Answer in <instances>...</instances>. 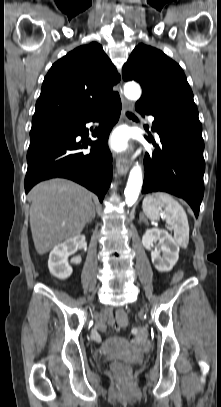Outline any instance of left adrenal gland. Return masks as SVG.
<instances>
[{
  "instance_id": "a2214340",
  "label": "left adrenal gland",
  "mask_w": 221,
  "mask_h": 407,
  "mask_svg": "<svg viewBox=\"0 0 221 407\" xmlns=\"http://www.w3.org/2000/svg\"><path fill=\"white\" fill-rule=\"evenodd\" d=\"M139 222H145L146 224L148 223L146 218L144 217V215L142 213H140Z\"/></svg>"
}]
</instances>
